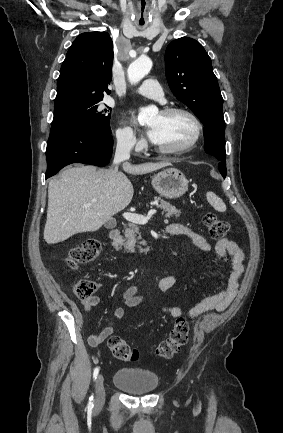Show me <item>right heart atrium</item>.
Here are the masks:
<instances>
[{"label":"right heart atrium","mask_w":283,"mask_h":433,"mask_svg":"<svg viewBox=\"0 0 283 433\" xmlns=\"http://www.w3.org/2000/svg\"><path fill=\"white\" fill-rule=\"evenodd\" d=\"M114 141L121 150H139L143 146V141L138 139L132 127L124 120L115 128Z\"/></svg>","instance_id":"d8ad5b80"}]
</instances>
